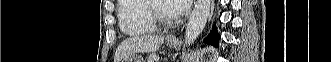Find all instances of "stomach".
Returning <instances> with one entry per match:
<instances>
[{"label":"stomach","instance_id":"obj_1","mask_svg":"<svg viewBox=\"0 0 331 62\" xmlns=\"http://www.w3.org/2000/svg\"><path fill=\"white\" fill-rule=\"evenodd\" d=\"M166 44L169 48H175L178 45L177 42H169V41H167ZM121 62H146V61L139 55L131 54L125 57Z\"/></svg>","mask_w":331,"mask_h":62}]
</instances>
